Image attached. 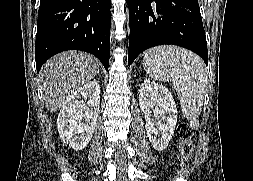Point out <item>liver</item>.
Segmentation results:
<instances>
[{
	"instance_id": "liver-1",
	"label": "liver",
	"mask_w": 253,
	"mask_h": 181,
	"mask_svg": "<svg viewBox=\"0 0 253 181\" xmlns=\"http://www.w3.org/2000/svg\"><path fill=\"white\" fill-rule=\"evenodd\" d=\"M98 70V60L81 51L63 52L48 60L39 75L47 110H59L66 98L90 82Z\"/></svg>"
}]
</instances>
